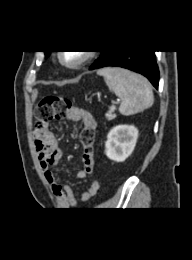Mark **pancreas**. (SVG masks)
<instances>
[{"label": "pancreas", "instance_id": "obj_1", "mask_svg": "<svg viewBox=\"0 0 192 260\" xmlns=\"http://www.w3.org/2000/svg\"><path fill=\"white\" fill-rule=\"evenodd\" d=\"M116 110V107L114 105H112L110 108H109V111L105 114V117L108 119V120H113L116 118V114L114 113Z\"/></svg>", "mask_w": 192, "mask_h": 260}]
</instances>
